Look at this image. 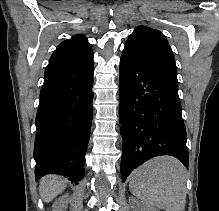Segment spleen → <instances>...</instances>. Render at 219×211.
<instances>
[{
    "instance_id": "spleen-1",
    "label": "spleen",
    "mask_w": 219,
    "mask_h": 211,
    "mask_svg": "<svg viewBox=\"0 0 219 211\" xmlns=\"http://www.w3.org/2000/svg\"><path fill=\"white\" fill-rule=\"evenodd\" d=\"M186 167L172 155H159L132 171L129 189L144 203L166 211H184Z\"/></svg>"
}]
</instances>
